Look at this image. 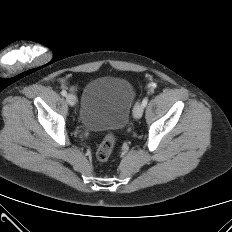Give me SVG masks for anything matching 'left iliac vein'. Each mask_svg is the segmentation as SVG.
<instances>
[{"mask_svg": "<svg viewBox=\"0 0 232 232\" xmlns=\"http://www.w3.org/2000/svg\"><path fill=\"white\" fill-rule=\"evenodd\" d=\"M144 107L142 104L137 103L133 109V116L135 119H140L142 117Z\"/></svg>", "mask_w": 232, "mask_h": 232, "instance_id": "obj_1", "label": "left iliac vein"}]
</instances>
